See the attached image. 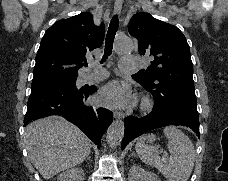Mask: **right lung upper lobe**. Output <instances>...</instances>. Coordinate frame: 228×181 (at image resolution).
Masks as SVG:
<instances>
[{"label": "right lung upper lobe", "mask_w": 228, "mask_h": 181, "mask_svg": "<svg viewBox=\"0 0 228 181\" xmlns=\"http://www.w3.org/2000/svg\"><path fill=\"white\" fill-rule=\"evenodd\" d=\"M104 32V25L96 26L89 12L57 21L41 40L33 81L77 76L87 53L102 45Z\"/></svg>", "instance_id": "cb5924a9"}]
</instances>
